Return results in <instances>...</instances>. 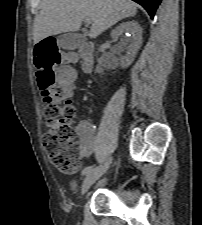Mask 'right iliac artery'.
<instances>
[{
  "label": "right iliac artery",
  "mask_w": 202,
  "mask_h": 225,
  "mask_svg": "<svg viewBox=\"0 0 202 225\" xmlns=\"http://www.w3.org/2000/svg\"><path fill=\"white\" fill-rule=\"evenodd\" d=\"M91 170H93V166H87L83 169L82 175L88 174Z\"/></svg>",
  "instance_id": "right-iliac-artery-1"
}]
</instances>
